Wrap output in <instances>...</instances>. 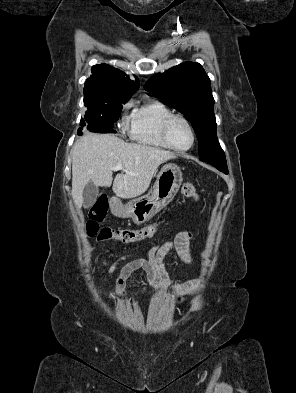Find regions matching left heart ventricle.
<instances>
[{
	"mask_svg": "<svg viewBox=\"0 0 296 393\" xmlns=\"http://www.w3.org/2000/svg\"><path fill=\"white\" fill-rule=\"evenodd\" d=\"M169 138L171 142L179 148H186L190 145L192 136L191 132L182 120H174L169 128Z\"/></svg>",
	"mask_w": 296,
	"mask_h": 393,
	"instance_id": "1",
	"label": "left heart ventricle"
}]
</instances>
